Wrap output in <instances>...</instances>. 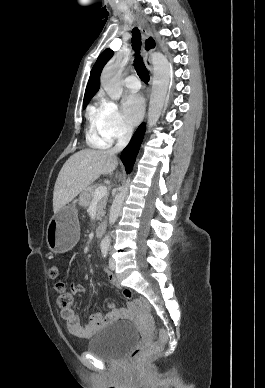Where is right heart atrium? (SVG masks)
<instances>
[{"instance_id": "right-heart-atrium-1", "label": "right heart atrium", "mask_w": 265, "mask_h": 388, "mask_svg": "<svg viewBox=\"0 0 265 388\" xmlns=\"http://www.w3.org/2000/svg\"><path fill=\"white\" fill-rule=\"evenodd\" d=\"M93 111L99 130L106 139L124 138L131 133V125L125 121L118 105L113 100L101 97L96 102Z\"/></svg>"}]
</instances>
